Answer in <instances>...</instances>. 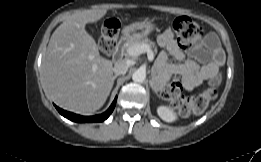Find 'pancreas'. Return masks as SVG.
Segmentation results:
<instances>
[{"mask_svg": "<svg viewBox=\"0 0 261 162\" xmlns=\"http://www.w3.org/2000/svg\"><path fill=\"white\" fill-rule=\"evenodd\" d=\"M139 44H147L151 48L155 47V43L150 41L148 38H138V39H133V40L126 42L123 45V49L127 51L130 47L135 46V45H139Z\"/></svg>", "mask_w": 261, "mask_h": 162, "instance_id": "cf45deb5", "label": "pancreas"}]
</instances>
